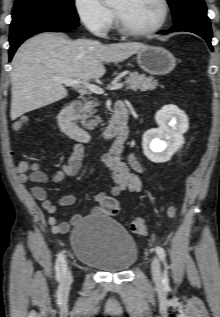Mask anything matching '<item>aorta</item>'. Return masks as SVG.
I'll return each mask as SVG.
<instances>
[{
  "label": "aorta",
  "mask_w": 220,
  "mask_h": 317,
  "mask_svg": "<svg viewBox=\"0 0 220 317\" xmlns=\"http://www.w3.org/2000/svg\"><path fill=\"white\" fill-rule=\"evenodd\" d=\"M105 1V3H107V4H112V3H114L116 0H104Z\"/></svg>",
  "instance_id": "aorta-1"
}]
</instances>
